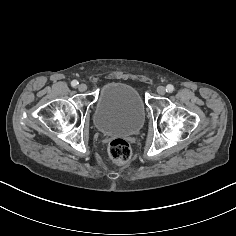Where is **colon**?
Listing matches in <instances>:
<instances>
[{
  "label": "colon",
  "instance_id": "5ec220e1",
  "mask_svg": "<svg viewBox=\"0 0 236 236\" xmlns=\"http://www.w3.org/2000/svg\"><path fill=\"white\" fill-rule=\"evenodd\" d=\"M108 154L113 162L124 164L130 160L132 152L126 140L115 138L108 145Z\"/></svg>",
  "mask_w": 236,
  "mask_h": 236
}]
</instances>
